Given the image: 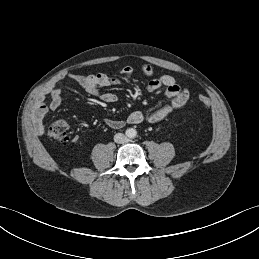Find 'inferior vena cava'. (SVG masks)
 <instances>
[{
  "label": "inferior vena cava",
  "mask_w": 259,
  "mask_h": 259,
  "mask_svg": "<svg viewBox=\"0 0 259 259\" xmlns=\"http://www.w3.org/2000/svg\"><path fill=\"white\" fill-rule=\"evenodd\" d=\"M114 141L118 144H124L128 141L127 137L122 133H117L114 136Z\"/></svg>",
  "instance_id": "602c4592"
}]
</instances>
